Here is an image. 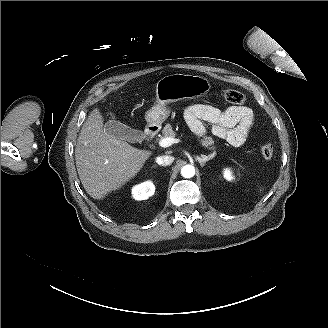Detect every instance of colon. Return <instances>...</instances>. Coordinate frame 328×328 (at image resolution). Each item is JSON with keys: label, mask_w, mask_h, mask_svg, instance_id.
I'll return each mask as SVG.
<instances>
[{"label": "colon", "mask_w": 328, "mask_h": 328, "mask_svg": "<svg viewBox=\"0 0 328 328\" xmlns=\"http://www.w3.org/2000/svg\"><path fill=\"white\" fill-rule=\"evenodd\" d=\"M222 96L225 102L234 105H241L245 101L244 95L241 92L233 89L225 90ZM260 151L264 159H270L274 153V146L271 143H265L262 145Z\"/></svg>", "instance_id": "1"}]
</instances>
